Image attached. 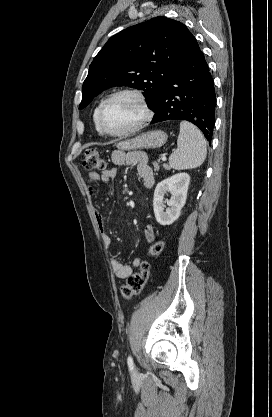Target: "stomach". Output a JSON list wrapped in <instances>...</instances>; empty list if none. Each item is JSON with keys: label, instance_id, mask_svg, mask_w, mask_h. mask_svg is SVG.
<instances>
[{"label": "stomach", "instance_id": "obj_1", "mask_svg": "<svg viewBox=\"0 0 272 417\" xmlns=\"http://www.w3.org/2000/svg\"><path fill=\"white\" fill-rule=\"evenodd\" d=\"M167 134L161 130H152L123 141L118 147L123 150L153 149L162 147L167 141Z\"/></svg>", "mask_w": 272, "mask_h": 417}]
</instances>
